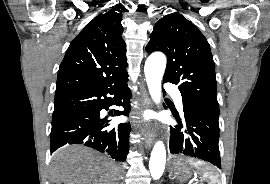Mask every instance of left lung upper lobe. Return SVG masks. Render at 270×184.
Listing matches in <instances>:
<instances>
[{
  "label": "left lung upper lobe",
  "mask_w": 270,
  "mask_h": 184,
  "mask_svg": "<svg viewBox=\"0 0 270 184\" xmlns=\"http://www.w3.org/2000/svg\"><path fill=\"white\" fill-rule=\"evenodd\" d=\"M146 51L166 54L163 80L178 84L183 100L219 116L210 45L194 24L179 13L164 16L155 24Z\"/></svg>",
  "instance_id": "5c2ea615"
}]
</instances>
